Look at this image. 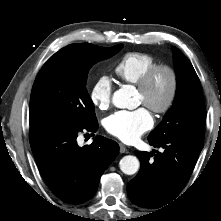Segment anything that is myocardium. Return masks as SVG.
<instances>
[{"mask_svg":"<svg viewBox=\"0 0 221 221\" xmlns=\"http://www.w3.org/2000/svg\"><path fill=\"white\" fill-rule=\"evenodd\" d=\"M162 72L168 74L170 79L169 92L166 100L160 106H153L149 104L146 100H144L143 102V104L146 107H148L151 111H153L156 114L167 113L175 103L179 89V77L176 69L173 66L166 63L156 64L153 67H151L136 84L137 90L142 95H145L148 92L150 86L152 85L157 75Z\"/></svg>","mask_w":221,"mask_h":221,"instance_id":"f54148a6","label":"myocardium"}]
</instances>
